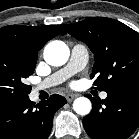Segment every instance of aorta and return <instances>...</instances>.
I'll return each mask as SVG.
<instances>
[{"mask_svg":"<svg viewBox=\"0 0 139 139\" xmlns=\"http://www.w3.org/2000/svg\"><path fill=\"white\" fill-rule=\"evenodd\" d=\"M69 48L62 41H52L48 43L44 49V59L52 66H62L69 58ZM91 101L86 97H79L74 100V111L82 116L88 115L91 111Z\"/></svg>","mask_w":139,"mask_h":139,"instance_id":"762f6f07","label":"aorta"}]
</instances>
